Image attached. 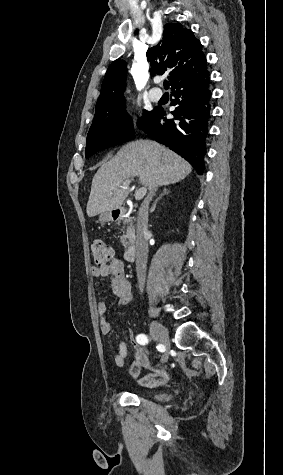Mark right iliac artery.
Instances as JSON below:
<instances>
[{
	"label": "right iliac artery",
	"mask_w": 283,
	"mask_h": 475,
	"mask_svg": "<svg viewBox=\"0 0 283 475\" xmlns=\"http://www.w3.org/2000/svg\"><path fill=\"white\" fill-rule=\"evenodd\" d=\"M136 340L141 345H146L148 343V337L145 334H140L136 337Z\"/></svg>",
	"instance_id": "right-iliac-artery-1"
}]
</instances>
